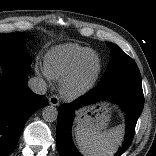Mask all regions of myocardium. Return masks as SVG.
<instances>
[{
    "label": "myocardium",
    "instance_id": "f54148a6",
    "mask_svg": "<svg viewBox=\"0 0 156 156\" xmlns=\"http://www.w3.org/2000/svg\"><path fill=\"white\" fill-rule=\"evenodd\" d=\"M92 57L96 59V71L93 77L86 83L80 84L79 78L82 73L83 67L88 59ZM102 74V62L98 56L88 55L82 58L73 69V71L62 81L60 92L64 99L73 101L87 93H89L98 83Z\"/></svg>",
    "mask_w": 156,
    "mask_h": 156
}]
</instances>
